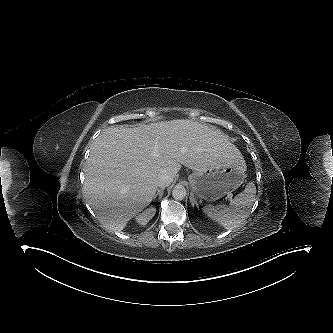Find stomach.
I'll list each match as a JSON object with an SVG mask.
<instances>
[{
    "mask_svg": "<svg viewBox=\"0 0 333 333\" xmlns=\"http://www.w3.org/2000/svg\"><path fill=\"white\" fill-rule=\"evenodd\" d=\"M245 172V161L239 158L219 167L195 171L189 175L188 179L197 198L216 201L240 187L244 181Z\"/></svg>",
    "mask_w": 333,
    "mask_h": 333,
    "instance_id": "stomach-1",
    "label": "stomach"
}]
</instances>
